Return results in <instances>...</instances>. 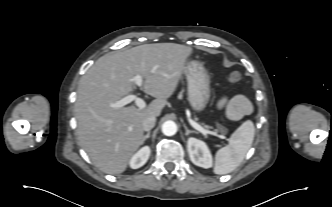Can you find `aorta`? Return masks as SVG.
I'll return each instance as SVG.
<instances>
[{
    "label": "aorta",
    "mask_w": 332,
    "mask_h": 207,
    "mask_svg": "<svg viewBox=\"0 0 332 207\" xmlns=\"http://www.w3.org/2000/svg\"><path fill=\"white\" fill-rule=\"evenodd\" d=\"M162 132L166 136H173L177 132V125L174 121L168 120L162 125Z\"/></svg>",
    "instance_id": "obj_1"
}]
</instances>
